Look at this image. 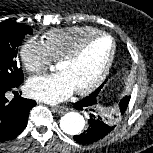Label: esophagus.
<instances>
[{"label":"esophagus","instance_id":"34e87169","mask_svg":"<svg viewBox=\"0 0 153 153\" xmlns=\"http://www.w3.org/2000/svg\"><path fill=\"white\" fill-rule=\"evenodd\" d=\"M67 110L64 106L52 107V111L56 113H64Z\"/></svg>","mask_w":153,"mask_h":153}]
</instances>
